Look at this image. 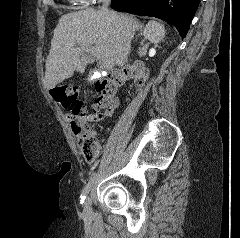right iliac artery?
I'll return each instance as SVG.
<instances>
[{"mask_svg": "<svg viewBox=\"0 0 240 238\" xmlns=\"http://www.w3.org/2000/svg\"><path fill=\"white\" fill-rule=\"evenodd\" d=\"M92 182H93V178H91L89 180V182L85 185L83 191H82V195H81V203L84 202L85 198H86V195L88 194V192L90 191L91 189V185H92Z\"/></svg>", "mask_w": 240, "mask_h": 238, "instance_id": "obj_1", "label": "right iliac artery"}]
</instances>
